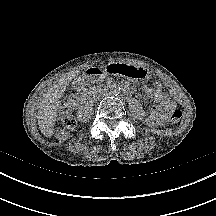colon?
<instances>
[{
    "mask_svg": "<svg viewBox=\"0 0 216 216\" xmlns=\"http://www.w3.org/2000/svg\"><path fill=\"white\" fill-rule=\"evenodd\" d=\"M59 118L62 128L72 130L76 127L77 121L73 115V108L68 104H64L59 111ZM182 118V112L179 109H175L170 117V121L174 124L180 122Z\"/></svg>",
    "mask_w": 216,
    "mask_h": 216,
    "instance_id": "1",
    "label": "colon"
}]
</instances>
